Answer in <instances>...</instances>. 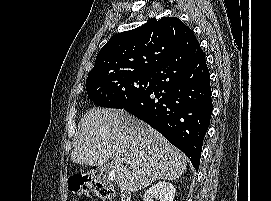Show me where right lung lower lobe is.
Listing matches in <instances>:
<instances>
[{
	"label": "right lung lower lobe",
	"instance_id": "right-lung-lower-lobe-1",
	"mask_svg": "<svg viewBox=\"0 0 271 201\" xmlns=\"http://www.w3.org/2000/svg\"><path fill=\"white\" fill-rule=\"evenodd\" d=\"M212 108L210 74L193 32L157 68L151 88L120 107L160 132L196 170Z\"/></svg>",
	"mask_w": 271,
	"mask_h": 201
}]
</instances>
